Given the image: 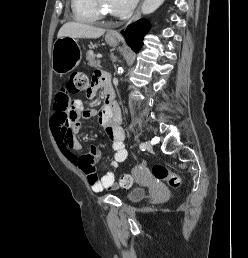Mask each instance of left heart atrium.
I'll return each mask as SVG.
<instances>
[{"instance_id":"1","label":"left heart atrium","mask_w":248,"mask_h":258,"mask_svg":"<svg viewBox=\"0 0 248 258\" xmlns=\"http://www.w3.org/2000/svg\"><path fill=\"white\" fill-rule=\"evenodd\" d=\"M111 12L117 16H125L130 13L137 3V0H106Z\"/></svg>"}]
</instances>
